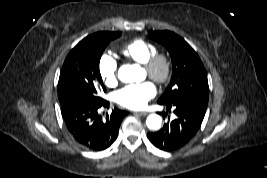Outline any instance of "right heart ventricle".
I'll return each mask as SVG.
<instances>
[{"label": "right heart ventricle", "instance_id": "e07e8e85", "mask_svg": "<svg viewBox=\"0 0 267 178\" xmlns=\"http://www.w3.org/2000/svg\"><path fill=\"white\" fill-rule=\"evenodd\" d=\"M155 52H157L156 46L141 38L132 40L122 49V54L125 57L139 64L146 62Z\"/></svg>", "mask_w": 267, "mask_h": 178}]
</instances>
